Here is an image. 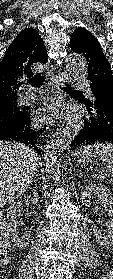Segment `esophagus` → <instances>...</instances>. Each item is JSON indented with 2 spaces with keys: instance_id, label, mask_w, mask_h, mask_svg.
Wrapping results in <instances>:
<instances>
[{
  "instance_id": "1",
  "label": "esophagus",
  "mask_w": 113,
  "mask_h": 279,
  "mask_svg": "<svg viewBox=\"0 0 113 279\" xmlns=\"http://www.w3.org/2000/svg\"><path fill=\"white\" fill-rule=\"evenodd\" d=\"M70 82H71L70 78L64 74H58L54 78V83L58 86V88H59V85L70 84ZM70 104H72V101L70 102ZM73 112H74V109L72 108V105H70L68 110L61 113V115L59 117L60 122H66V121L71 120V118L73 116Z\"/></svg>"
}]
</instances>
